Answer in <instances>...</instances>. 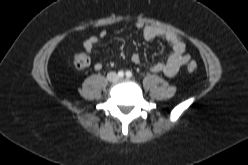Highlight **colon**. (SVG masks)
I'll return each mask as SVG.
<instances>
[{"instance_id": "obj_1", "label": "colon", "mask_w": 248, "mask_h": 165, "mask_svg": "<svg viewBox=\"0 0 248 165\" xmlns=\"http://www.w3.org/2000/svg\"><path fill=\"white\" fill-rule=\"evenodd\" d=\"M73 66L77 69H84L89 66L90 60L89 57L84 53H75L72 57ZM197 69V64L194 61H190L187 64V70L189 72H194Z\"/></svg>"}]
</instances>
